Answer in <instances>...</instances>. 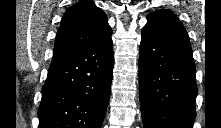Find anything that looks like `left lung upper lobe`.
Listing matches in <instances>:
<instances>
[{
  "instance_id": "1",
  "label": "left lung upper lobe",
  "mask_w": 221,
  "mask_h": 128,
  "mask_svg": "<svg viewBox=\"0 0 221 128\" xmlns=\"http://www.w3.org/2000/svg\"><path fill=\"white\" fill-rule=\"evenodd\" d=\"M150 15L164 16L170 20L177 22L181 26H183L182 23L177 19V17L171 11H168V10L156 11V12L151 13Z\"/></svg>"
}]
</instances>
